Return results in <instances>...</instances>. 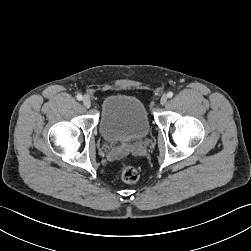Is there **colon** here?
<instances>
[{
  "label": "colon",
  "instance_id": "1",
  "mask_svg": "<svg viewBox=\"0 0 251 251\" xmlns=\"http://www.w3.org/2000/svg\"><path fill=\"white\" fill-rule=\"evenodd\" d=\"M121 177L126 183H134L139 179V173L133 165L126 163L122 167Z\"/></svg>",
  "mask_w": 251,
  "mask_h": 251
}]
</instances>
